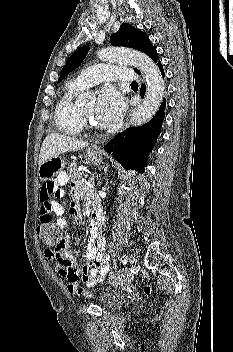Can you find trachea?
Masks as SVG:
<instances>
[{
    "label": "trachea",
    "instance_id": "obj_1",
    "mask_svg": "<svg viewBox=\"0 0 233 352\" xmlns=\"http://www.w3.org/2000/svg\"><path fill=\"white\" fill-rule=\"evenodd\" d=\"M131 85H138L137 82H132Z\"/></svg>",
    "mask_w": 233,
    "mask_h": 352
}]
</instances>
